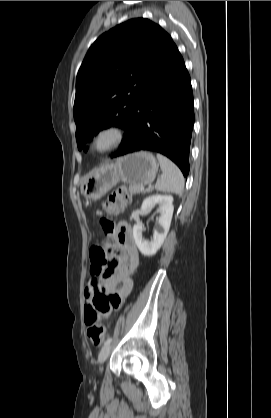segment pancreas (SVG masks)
<instances>
[{"mask_svg": "<svg viewBox=\"0 0 271 418\" xmlns=\"http://www.w3.org/2000/svg\"><path fill=\"white\" fill-rule=\"evenodd\" d=\"M129 191H130V193H132V194H139V193H146V192H148L149 190H145V189L143 188V186H140V185L130 184V185H129Z\"/></svg>", "mask_w": 271, "mask_h": 418, "instance_id": "1", "label": "pancreas"}]
</instances>
